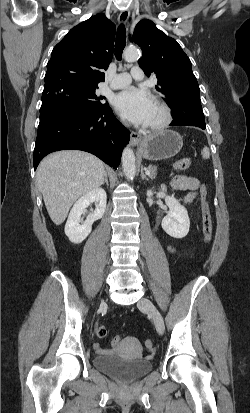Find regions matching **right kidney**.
Returning <instances> with one entry per match:
<instances>
[{
  "mask_svg": "<svg viewBox=\"0 0 250 413\" xmlns=\"http://www.w3.org/2000/svg\"><path fill=\"white\" fill-rule=\"evenodd\" d=\"M106 201L107 195L105 190L96 188L75 202L65 225V234L71 242L79 244L87 238L91 233L94 221L103 217L106 210ZM91 203H95L96 209L83 222L81 215Z\"/></svg>",
  "mask_w": 250,
  "mask_h": 413,
  "instance_id": "right-kidney-1",
  "label": "right kidney"
}]
</instances>
